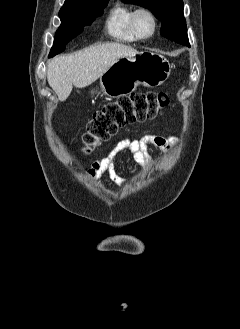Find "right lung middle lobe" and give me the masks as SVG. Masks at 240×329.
Wrapping results in <instances>:
<instances>
[{
	"label": "right lung middle lobe",
	"instance_id": "dd1d6c3e",
	"mask_svg": "<svg viewBox=\"0 0 240 329\" xmlns=\"http://www.w3.org/2000/svg\"><path fill=\"white\" fill-rule=\"evenodd\" d=\"M109 0H97L89 4L63 6L59 12L61 25L56 32L54 45L49 57L59 54L65 45L79 33L86 25H90L97 16H101Z\"/></svg>",
	"mask_w": 240,
	"mask_h": 329
}]
</instances>
